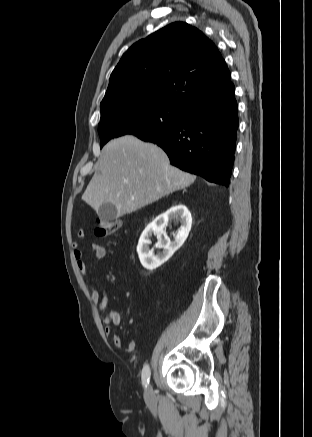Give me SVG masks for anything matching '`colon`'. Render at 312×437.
I'll list each match as a JSON object with an SVG mask.
<instances>
[{
    "mask_svg": "<svg viewBox=\"0 0 312 437\" xmlns=\"http://www.w3.org/2000/svg\"><path fill=\"white\" fill-rule=\"evenodd\" d=\"M120 221L106 220L103 218L95 219V233L98 236L105 237L114 234L120 228Z\"/></svg>",
    "mask_w": 312,
    "mask_h": 437,
    "instance_id": "5ec220e1",
    "label": "colon"
}]
</instances>
